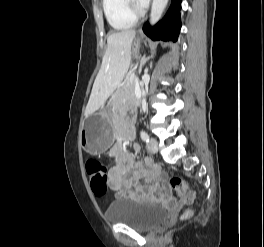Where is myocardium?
<instances>
[{"label": "myocardium", "mask_w": 264, "mask_h": 247, "mask_svg": "<svg viewBox=\"0 0 264 247\" xmlns=\"http://www.w3.org/2000/svg\"><path fill=\"white\" fill-rule=\"evenodd\" d=\"M127 1H128L129 11L134 17L141 18L146 14V10L143 7L138 6L135 0H127Z\"/></svg>", "instance_id": "f54148a6"}]
</instances>
